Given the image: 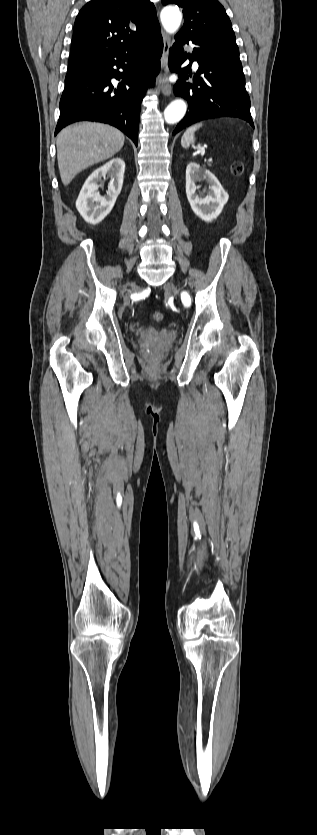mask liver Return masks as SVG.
<instances>
[{
  "label": "liver",
  "instance_id": "6515ba94",
  "mask_svg": "<svg viewBox=\"0 0 317 835\" xmlns=\"http://www.w3.org/2000/svg\"><path fill=\"white\" fill-rule=\"evenodd\" d=\"M124 141V134L107 124L83 122L63 129L56 142L62 183L68 185L83 169L114 156Z\"/></svg>",
  "mask_w": 317,
  "mask_h": 835
}]
</instances>
